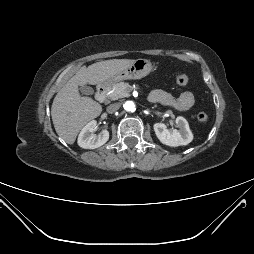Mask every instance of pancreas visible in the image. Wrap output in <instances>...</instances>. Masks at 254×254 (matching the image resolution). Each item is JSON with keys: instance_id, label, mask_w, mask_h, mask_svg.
I'll use <instances>...</instances> for the list:
<instances>
[{"instance_id": "cf45deb5", "label": "pancreas", "mask_w": 254, "mask_h": 254, "mask_svg": "<svg viewBox=\"0 0 254 254\" xmlns=\"http://www.w3.org/2000/svg\"><path fill=\"white\" fill-rule=\"evenodd\" d=\"M133 87L126 82H120L113 85L109 92L108 98L111 100H117L123 97H129Z\"/></svg>"}]
</instances>
